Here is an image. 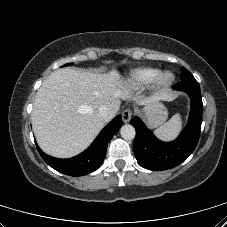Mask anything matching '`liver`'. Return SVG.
Returning <instances> with one entry per match:
<instances>
[{
  "mask_svg": "<svg viewBox=\"0 0 227 227\" xmlns=\"http://www.w3.org/2000/svg\"><path fill=\"white\" fill-rule=\"evenodd\" d=\"M148 105L153 99L132 97L117 70L106 74L62 68L39 88L32 111V127L41 149L69 158L85 150L109 121L99 114L107 105L118 112L122 100Z\"/></svg>",
  "mask_w": 227,
  "mask_h": 227,
  "instance_id": "1",
  "label": "liver"
}]
</instances>
